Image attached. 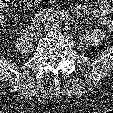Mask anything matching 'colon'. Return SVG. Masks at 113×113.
Returning a JSON list of instances; mask_svg holds the SVG:
<instances>
[{
	"mask_svg": "<svg viewBox=\"0 0 113 113\" xmlns=\"http://www.w3.org/2000/svg\"><path fill=\"white\" fill-rule=\"evenodd\" d=\"M3 1H7V0H3ZM29 1H37V0H29ZM2 23H3V15L1 13V4H0V24H2Z\"/></svg>",
	"mask_w": 113,
	"mask_h": 113,
	"instance_id": "colon-1",
	"label": "colon"
}]
</instances>
